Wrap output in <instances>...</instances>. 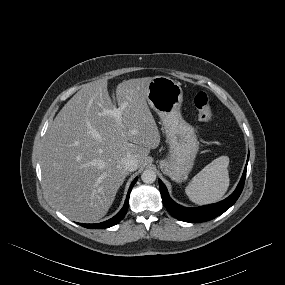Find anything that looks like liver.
<instances>
[{
	"label": "liver",
	"mask_w": 285,
	"mask_h": 285,
	"mask_svg": "<svg viewBox=\"0 0 285 285\" xmlns=\"http://www.w3.org/2000/svg\"><path fill=\"white\" fill-rule=\"evenodd\" d=\"M153 77L117 85L116 101L124 106L121 123L104 114L116 108L106 80L83 87L49 126L42 148L43 185L50 202L65 216L90 223L104 217L128 175L121 159L133 155L144 164L160 134L147 104Z\"/></svg>",
	"instance_id": "6515ba94"
}]
</instances>
